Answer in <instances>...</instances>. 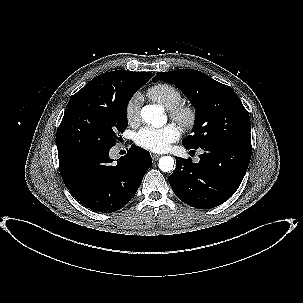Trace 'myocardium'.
I'll return each mask as SVG.
<instances>
[{
    "label": "myocardium",
    "mask_w": 303,
    "mask_h": 303,
    "mask_svg": "<svg viewBox=\"0 0 303 303\" xmlns=\"http://www.w3.org/2000/svg\"><path fill=\"white\" fill-rule=\"evenodd\" d=\"M170 117L185 129H191L196 122V110L189 106L180 104L169 110Z\"/></svg>",
    "instance_id": "obj_1"
}]
</instances>
